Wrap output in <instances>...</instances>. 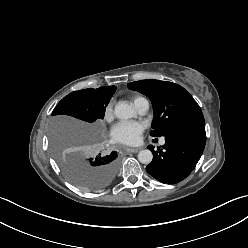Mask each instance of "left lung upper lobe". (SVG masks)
I'll return each instance as SVG.
<instances>
[{"mask_svg": "<svg viewBox=\"0 0 248 248\" xmlns=\"http://www.w3.org/2000/svg\"><path fill=\"white\" fill-rule=\"evenodd\" d=\"M128 87L146 95L152 102L153 137L166 136L181 124L203 116L201 108L190 93L178 84L160 80H140Z\"/></svg>", "mask_w": 248, "mask_h": 248, "instance_id": "1", "label": "left lung upper lobe"}]
</instances>
